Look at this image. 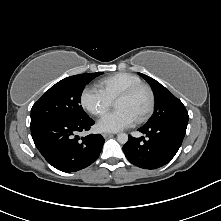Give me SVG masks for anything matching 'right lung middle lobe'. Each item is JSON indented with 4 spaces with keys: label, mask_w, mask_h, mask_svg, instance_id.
<instances>
[{
    "label": "right lung middle lobe",
    "mask_w": 221,
    "mask_h": 221,
    "mask_svg": "<svg viewBox=\"0 0 221 221\" xmlns=\"http://www.w3.org/2000/svg\"><path fill=\"white\" fill-rule=\"evenodd\" d=\"M102 72L67 77L47 90L31 109V122L42 119H84L81 94L84 87Z\"/></svg>",
    "instance_id": "dd1d6c3e"
}]
</instances>
